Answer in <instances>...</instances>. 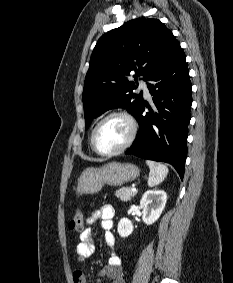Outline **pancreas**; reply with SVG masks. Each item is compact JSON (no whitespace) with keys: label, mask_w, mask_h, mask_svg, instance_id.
Wrapping results in <instances>:
<instances>
[{"label":"pancreas","mask_w":233,"mask_h":283,"mask_svg":"<svg viewBox=\"0 0 233 283\" xmlns=\"http://www.w3.org/2000/svg\"><path fill=\"white\" fill-rule=\"evenodd\" d=\"M117 198H119L123 202H127L131 200L132 197L136 195V192H132L131 188L129 187H123L116 191Z\"/></svg>","instance_id":"pancreas-1"}]
</instances>
